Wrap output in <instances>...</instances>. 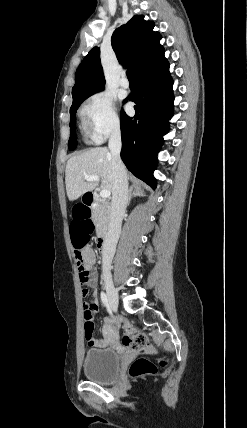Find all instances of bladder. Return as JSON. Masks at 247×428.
<instances>
[{"label": "bladder", "instance_id": "obj_1", "mask_svg": "<svg viewBox=\"0 0 247 428\" xmlns=\"http://www.w3.org/2000/svg\"><path fill=\"white\" fill-rule=\"evenodd\" d=\"M120 368V355L112 348H92L85 353L83 372L91 381L113 382L118 377Z\"/></svg>", "mask_w": 247, "mask_h": 428}]
</instances>
